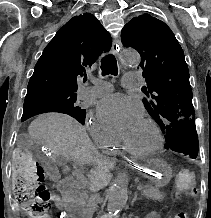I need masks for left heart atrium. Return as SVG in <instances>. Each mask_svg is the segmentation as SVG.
Instances as JSON below:
<instances>
[{"label":"left heart atrium","mask_w":211,"mask_h":218,"mask_svg":"<svg viewBox=\"0 0 211 218\" xmlns=\"http://www.w3.org/2000/svg\"><path fill=\"white\" fill-rule=\"evenodd\" d=\"M103 127L115 138L125 140L144 123V109L133 95L115 93L97 105Z\"/></svg>","instance_id":"39dd6f15"}]
</instances>
